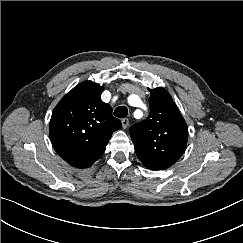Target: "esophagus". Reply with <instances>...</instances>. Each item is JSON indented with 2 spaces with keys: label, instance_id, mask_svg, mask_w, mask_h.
Wrapping results in <instances>:
<instances>
[{
  "label": "esophagus",
  "instance_id": "esophagus-1",
  "mask_svg": "<svg viewBox=\"0 0 243 243\" xmlns=\"http://www.w3.org/2000/svg\"><path fill=\"white\" fill-rule=\"evenodd\" d=\"M122 127L124 128V129H126L128 126H129V119L128 118H124V119H122Z\"/></svg>",
  "mask_w": 243,
  "mask_h": 243
}]
</instances>
